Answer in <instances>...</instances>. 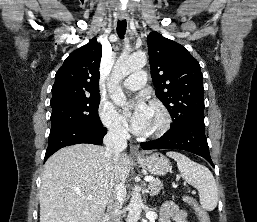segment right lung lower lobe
Returning <instances> with one entry per match:
<instances>
[{
	"instance_id": "1",
	"label": "right lung lower lobe",
	"mask_w": 257,
	"mask_h": 222,
	"mask_svg": "<svg viewBox=\"0 0 257 222\" xmlns=\"http://www.w3.org/2000/svg\"><path fill=\"white\" fill-rule=\"evenodd\" d=\"M106 133L107 129L105 127L97 129L70 127L54 133H50L44 162L53 153L65 146L80 143L101 145L103 142V137Z\"/></svg>"
}]
</instances>
